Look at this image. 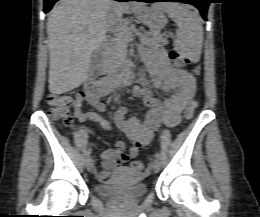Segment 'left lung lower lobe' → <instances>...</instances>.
Segmentation results:
<instances>
[{
	"label": "left lung lower lobe",
	"instance_id": "obj_1",
	"mask_svg": "<svg viewBox=\"0 0 260 217\" xmlns=\"http://www.w3.org/2000/svg\"><path fill=\"white\" fill-rule=\"evenodd\" d=\"M133 1H143V2H183L194 5L200 10V13L204 20H207L206 13L210 0H133Z\"/></svg>",
	"mask_w": 260,
	"mask_h": 217
}]
</instances>
